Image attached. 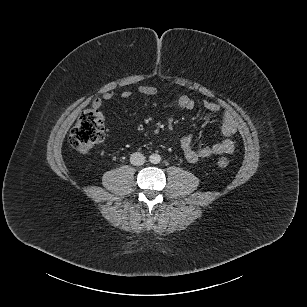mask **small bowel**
Segmentation results:
<instances>
[{"label": "small bowel", "mask_w": 307, "mask_h": 307, "mask_svg": "<svg viewBox=\"0 0 307 307\" xmlns=\"http://www.w3.org/2000/svg\"><path fill=\"white\" fill-rule=\"evenodd\" d=\"M138 92L144 96H153L157 94V88L152 85H141L138 88ZM133 95L132 91L125 90L121 93V97L128 99ZM114 98V93L108 91L103 94L102 98H97L93 101L92 107L97 110L99 117L104 121V115L102 112L103 103L110 101ZM178 105L185 110H192L195 107V101L187 95H182L178 98ZM202 106L205 110L211 113H219L220 106L210 100H204ZM222 135L224 138L221 141L212 143L211 145L194 147L193 136L191 134L186 135L181 140V148L184 152L185 158L191 162H197L200 159L208 158L212 155L219 154H231L235 148L234 136L237 133V127L233 118L228 113H220L218 117Z\"/></svg>", "instance_id": "small-bowel-1"}]
</instances>
